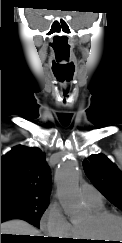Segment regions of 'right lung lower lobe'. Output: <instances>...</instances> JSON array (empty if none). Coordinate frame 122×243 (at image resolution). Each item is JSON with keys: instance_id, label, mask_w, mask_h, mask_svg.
Returning a JSON list of instances; mask_svg holds the SVG:
<instances>
[{"instance_id": "right-lung-lower-lobe-1", "label": "right lung lower lobe", "mask_w": 122, "mask_h": 243, "mask_svg": "<svg viewBox=\"0 0 122 243\" xmlns=\"http://www.w3.org/2000/svg\"><path fill=\"white\" fill-rule=\"evenodd\" d=\"M10 219H22L30 224L34 225L37 227V225L32 221L31 218H29L26 215L23 214H17V213H6V212H1V223ZM42 243H52L49 238H43L40 240Z\"/></svg>"}]
</instances>
